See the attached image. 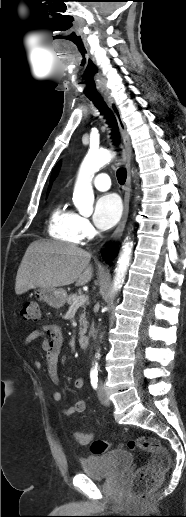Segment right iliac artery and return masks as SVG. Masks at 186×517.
I'll return each mask as SVG.
<instances>
[{"instance_id":"right-iliac-artery-1","label":"right iliac artery","mask_w":186,"mask_h":517,"mask_svg":"<svg viewBox=\"0 0 186 517\" xmlns=\"http://www.w3.org/2000/svg\"><path fill=\"white\" fill-rule=\"evenodd\" d=\"M90 379L91 384L94 388H97L98 386V372L97 371H91L90 372Z\"/></svg>"}]
</instances>
